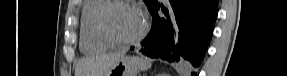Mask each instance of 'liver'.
<instances>
[{
	"instance_id": "1",
	"label": "liver",
	"mask_w": 287,
	"mask_h": 76,
	"mask_svg": "<svg viewBox=\"0 0 287 76\" xmlns=\"http://www.w3.org/2000/svg\"><path fill=\"white\" fill-rule=\"evenodd\" d=\"M123 56L124 52L83 58L77 63L75 76H105Z\"/></svg>"
}]
</instances>
